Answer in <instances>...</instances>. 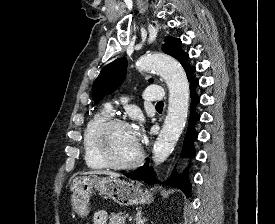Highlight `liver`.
<instances>
[{
    "label": "liver",
    "instance_id": "obj_1",
    "mask_svg": "<svg viewBox=\"0 0 275 224\" xmlns=\"http://www.w3.org/2000/svg\"><path fill=\"white\" fill-rule=\"evenodd\" d=\"M85 175L89 174V175H95V174H104V175H108L109 177H113V178H118L120 175L118 173H114L111 171H88L84 173Z\"/></svg>",
    "mask_w": 275,
    "mask_h": 224
}]
</instances>
